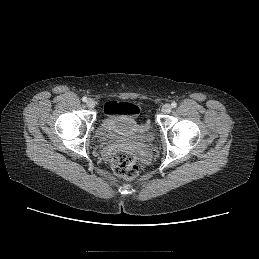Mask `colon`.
<instances>
[{"instance_id": "colon-1", "label": "colon", "mask_w": 259, "mask_h": 259, "mask_svg": "<svg viewBox=\"0 0 259 259\" xmlns=\"http://www.w3.org/2000/svg\"><path fill=\"white\" fill-rule=\"evenodd\" d=\"M122 111L125 114L132 115L136 112V109L131 104H124ZM111 163L114 172L126 180H133L138 176L137 157L130 150L119 149L115 151Z\"/></svg>"}]
</instances>
